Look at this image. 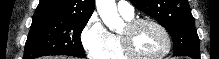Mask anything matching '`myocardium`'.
I'll return each mask as SVG.
<instances>
[{"label": "myocardium", "instance_id": "myocardium-1", "mask_svg": "<svg viewBox=\"0 0 219 59\" xmlns=\"http://www.w3.org/2000/svg\"><path fill=\"white\" fill-rule=\"evenodd\" d=\"M143 24H150L156 27L164 36L166 40V48L165 50L156 56H142L139 55L133 48L132 46V39H131V34L141 25ZM126 33L125 34H120L119 39L122 47V51L125 54V56L128 59H164L166 58L171 50H172V37L167 30V28L157 20H154L152 18H137V19H132L126 23Z\"/></svg>", "mask_w": 219, "mask_h": 59}]
</instances>
